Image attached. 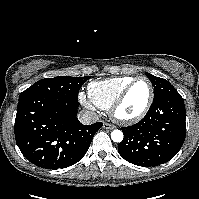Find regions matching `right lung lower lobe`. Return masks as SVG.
<instances>
[{"label": "right lung lower lobe", "mask_w": 199, "mask_h": 199, "mask_svg": "<svg viewBox=\"0 0 199 199\" xmlns=\"http://www.w3.org/2000/svg\"><path fill=\"white\" fill-rule=\"evenodd\" d=\"M78 100L35 93L19 97L16 143L30 162L46 169L69 167L83 158L103 123L78 121Z\"/></svg>", "instance_id": "98d812e1"}]
</instances>
